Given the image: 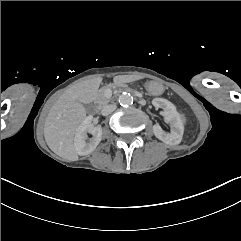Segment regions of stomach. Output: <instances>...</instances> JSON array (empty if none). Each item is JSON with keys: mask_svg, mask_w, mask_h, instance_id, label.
<instances>
[{"mask_svg": "<svg viewBox=\"0 0 241 241\" xmlns=\"http://www.w3.org/2000/svg\"><path fill=\"white\" fill-rule=\"evenodd\" d=\"M145 87L151 95H161L165 90L164 85L159 81H149Z\"/></svg>", "mask_w": 241, "mask_h": 241, "instance_id": "obj_1", "label": "stomach"}]
</instances>
